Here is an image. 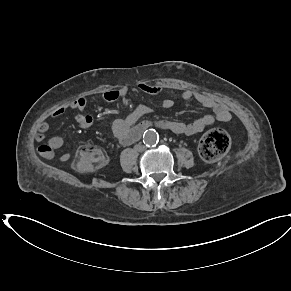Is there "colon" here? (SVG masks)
Returning <instances> with one entry per match:
<instances>
[{
	"label": "colon",
	"instance_id": "obj_1",
	"mask_svg": "<svg viewBox=\"0 0 291 291\" xmlns=\"http://www.w3.org/2000/svg\"><path fill=\"white\" fill-rule=\"evenodd\" d=\"M230 147L229 135L222 129H212L202 138L199 146L201 156L207 161L221 158ZM104 152L93 145L81 147L73 161V168L78 172H90L104 166Z\"/></svg>",
	"mask_w": 291,
	"mask_h": 291
}]
</instances>
